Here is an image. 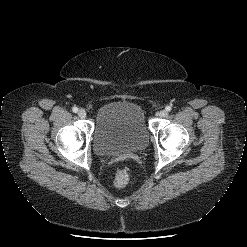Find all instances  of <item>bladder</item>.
Returning <instances> with one entry per match:
<instances>
[{"label": "bladder", "instance_id": "bladder-1", "mask_svg": "<svg viewBox=\"0 0 247 247\" xmlns=\"http://www.w3.org/2000/svg\"><path fill=\"white\" fill-rule=\"evenodd\" d=\"M143 107L130 100L106 103L96 113L93 148L100 156H118L142 151L149 142Z\"/></svg>", "mask_w": 247, "mask_h": 247}]
</instances>
